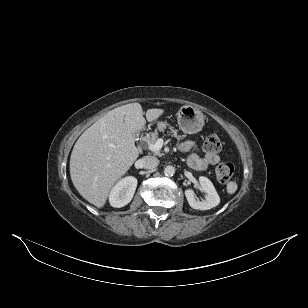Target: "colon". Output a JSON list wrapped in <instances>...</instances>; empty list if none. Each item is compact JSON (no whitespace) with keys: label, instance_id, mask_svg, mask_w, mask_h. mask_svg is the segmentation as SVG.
<instances>
[{"label":"colon","instance_id":"obj_1","mask_svg":"<svg viewBox=\"0 0 308 308\" xmlns=\"http://www.w3.org/2000/svg\"><path fill=\"white\" fill-rule=\"evenodd\" d=\"M221 140L216 134L208 135L204 140V149L209 153H217L221 149ZM234 174V166L230 162H222L216 168L217 179L228 182Z\"/></svg>","mask_w":308,"mask_h":308}]
</instances>
